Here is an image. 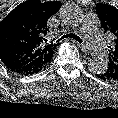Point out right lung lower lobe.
Masks as SVG:
<instances>
[{"mask_svg":"<svg viewBox=\"0 0 118 118\" xmlns=\"http://www.w3.org/2000/svg\"><path fill=\"white\" fill-rule=\"evenodd\" d=\"M15 72V71H14ZM39 72V71H38ZM34 73H37V72H31V73H20V74H24V75H32V74H34Z\"/></svg>","mask_w":118,"mask_h":118,"instance_id":"98d812e1","label":"right lung lower lobe"}]
</instances>
